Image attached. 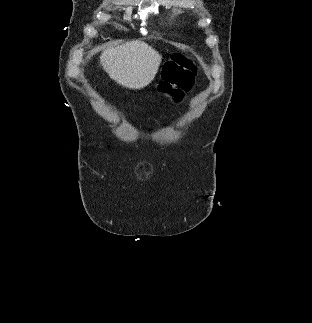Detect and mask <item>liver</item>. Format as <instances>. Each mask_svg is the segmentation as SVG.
<instances>
[{
	"label": "liver",
	"instance_id": "liver-1",
	"mask_svg": "<svg viewBox=\"0 0 312 323\" xmlns=\"http://www.w3.org/2000/svg\"><path fill=\"white\" fill-rule=\"evenodd\" d=\"M161 62L159 52L140 40L126 42L122 46H110L100 56V64L111 80L131 90L149 86Z\"/></svg>",
	"mask_w": 312,
	"mask_h": 323
}]
</instances>
